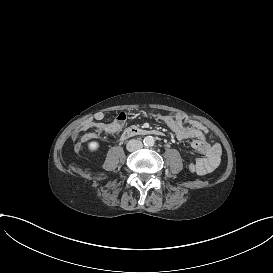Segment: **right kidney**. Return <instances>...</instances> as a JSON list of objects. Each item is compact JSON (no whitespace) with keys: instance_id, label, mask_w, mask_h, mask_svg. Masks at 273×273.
<instances>
[{"instance_id":"1","label":"right kidney","mask_w":273,"mask_h":273,"mask_svg":"<svg viewBox=\"0 0 273 273\" xmlns=\"http://www.w3.org/2000/svg\"><path fill=\"white\" fill-rule=\"evenodd\" d=\"M88 147H89V149H90L91 151H95V150L98 149L99 144H98L97 142L93 141V142H90V143H89Z\"/></svg>"}]
</instances>
